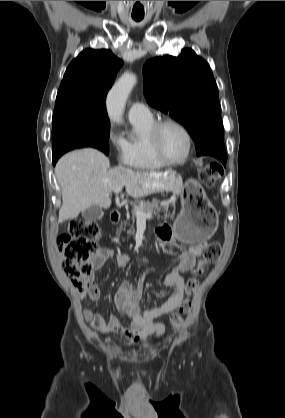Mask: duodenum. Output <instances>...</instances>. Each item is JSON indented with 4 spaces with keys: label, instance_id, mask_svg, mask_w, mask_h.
I'll return each mask as SVG.
<instances>
[{
    "label": "duodenum",
    "instance_id": "duodenum-1",
    "mask_svg": "<svg viewBox=\"0 0 285 418\" xmlns=\"http://www.w3.org/2000/svg\"><path fill=\"white\" fill-rule=\"evenodd\" d=\"M122 213L119 210H113L111 212V220L114 223H118L121 220Z\"/></svg>",
    "mask_w": 285,
    "mask_h": 418
}]
</instances>
